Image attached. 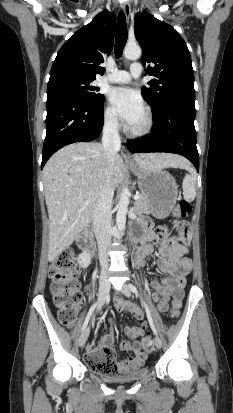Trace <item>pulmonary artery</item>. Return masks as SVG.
Listing matches in <instances>:
<instances>
[{
    "label": "pulmonary artery",
    "mask_w": 233,
    "mask_h": 413,
    "mask_svg": "<svg viewBox=\"0 0 233 413\" xmlns=\"http://www.w3.org/2000/svg\"><path fill=\"white\" fill-rule=\"evenodd\" d=\"M142 73V67L139 63H133L130 67V71L114 69L111 73L103 78V81L125 84L131 81L132 78H137Z\"/></svg>",
    "instance_id": "e3ab8cb5"
}]
</instances>
